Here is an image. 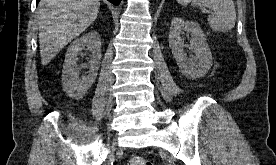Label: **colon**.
Here are the masks:
<instances>
[{"label": "colon", "instance_id": "1", "mask_svg": "<svg viewBox=\"0 0 276 165\" xmlns=\"http://www.w3.org/2000/svg\"><path fill=\"white\" fill-rule=\"evenodd\" d=\"M128 165H153V164L142 157L135 156L129 160Z\"/></svg>", "mask_w": 276, "mask_h": 165}]
</instances>
